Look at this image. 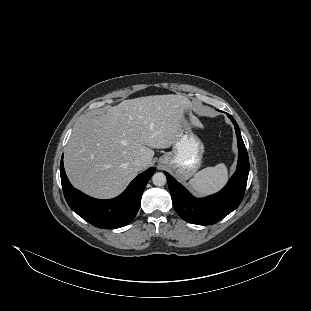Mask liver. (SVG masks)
I'll return each mask as SVG.
<instances>
[{"instance_id":"6515ba94","label":"liver","mask_w":311,"mask_h":311,"mask_svg":"<svg viewBox=\"0 0 311 311\" xmlns=\"http://www.w3.org/2000/svg\"><path fill=\"white\" fill-rule=\"evenodd\" d=\"M183 122L204 129L191 114V101L173 94L124 100L110 107L106 116L87 118L73 129L65 148L72 184L95 197L119 194L150 166L152 149L173 147L183 133Z\"/></svg>"}]
</instances>
